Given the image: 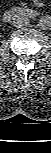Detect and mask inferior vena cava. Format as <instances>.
<instances>
[{
    "label": "inferior vena cava",
    "instance_id": "602c4592",
    "mask_svg": "<svg viewBox=\"0 0 51 153\" xmlns=\"http://www.w3.org/2000/svg\"><path fill=\"white\" fill-rule=\"evenodd\" d=\"M29 24V18L25 15H18L13 19V25L17 28L27 26Z\"/></svg>",
    "mask_w": 51,
    "mask_h": 153
}]
</instances>
